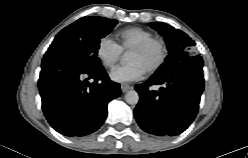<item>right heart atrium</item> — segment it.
<instances>
[{
  "label": "right heart atrium",
  "mask_w": 248,
  "mask_h": 158,
  "mask_svg": "<svg viewBox=\"0 0 248 158\" xmlns=\"http://www.w3.org/2000/svg\"><path fill=\"white\" fill-rule=\"evenodd\" d=\"M96 55L105 68L111 69L121 59L122 50L108 37H102L97 43Z\"/></svg>",
  "instance_id": "1"
}]
</instances>
